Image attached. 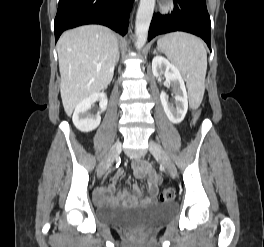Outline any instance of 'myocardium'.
<instances>
[{
  "label": "myocardium",
  "mask_w": 264,
  "mask_h": 247,
  "mask_svg": "<svg viewBox=\"0 0 264 247\" xmlns=\"http://www.w3.org/2000/svg\"><path fill=\"white\" fill-rule=\"evenodd\" d=\"M169 8H170L169 4L164 7V9H166V10L169 9Z\"/></svg>",
  "instance_id": "myocardium-1"
}]
</instances>
